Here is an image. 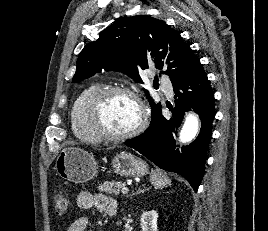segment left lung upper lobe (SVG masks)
Masks as SVG:
<instances>
[{
  "label": "left lung upper lobe",
  "instance_id": "1",
  "mask_svg": "<svg viewBox=\"0 0 268 231\" xmlns=\"http://www.w3.org/2000/svg\"><path fill=\"white\" fill-rule=\"evenodd\" d=\"M197 59L179 32L164 21L146 15L121 19L88 43L77 60L73 82L91 77L102 69L120 71L143 83L140 72L155 66L172 80L184 73ZM152 120L161 111V105L150 98Z\"/></svg>",
  "mask_w": 268,
  "mask_h": 231
}]
</instances>
